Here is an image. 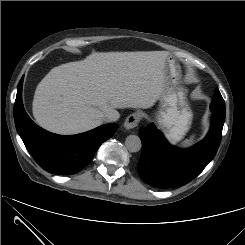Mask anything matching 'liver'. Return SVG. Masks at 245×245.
Wrapping results in <instances>:
<instances>
[{
	"mask_svg": "<svg viewBox=\"0 0 245 245\" xmlns=\"http://www.w3.org/2000/svg\"><path fill=\"white\" fill-rule=\"evenodd\" d=\"M166 51L92 52L59 65L40 81L33 116L44 129L78 134L100 126L102 116L120 108H150L166 82Z\"/></svg>",
	"mask_w": 245,
	"mask_h": 245,
	"instance_id": "6515ba94",
	"label": "liver"
}]
</instances>
